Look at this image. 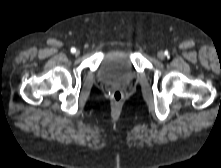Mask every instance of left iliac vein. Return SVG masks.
I'll list each match as a JSON object with an SVG mask.
<instances>
[{"label": "left iliac vein", "instance_id": "obj_1", "mask_svg": "<svg viewBox=\"0 0 221 168\" xmlns=\"http://www.w3.org/2000/svg\"><path fill=\"white\" fill-rule=\"evenodd\" d=\"M158 58L163 60L165 58V54L163 51H159L158 54H157Z\"/></svg>", "mask_w": 221, "mask_h": 168}]
</instances>
